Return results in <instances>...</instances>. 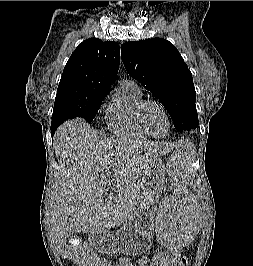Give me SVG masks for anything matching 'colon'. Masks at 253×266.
Returning a JSON list of instances; mask_svg holds the SVG:
<instances>
[{"mask_svg": "<svg viewBox=\"0 0 253 266\" xmlns=\"http://www.w3.org/2000/svg\"><path fill=\"white\" fill-rule=\"evenodd\" d=\"M65 256L76 266H112L107 259L98 256L80 238H71L68 241ZM187 263L186 257L181 256L177 252L168 251L157 253L151 260L144 262L142 266H186Z\"/></svg>", "mask_w": 253, "mask_h": 266, "instance_id": "5ec220e1", "label": "colon"}]
</instances>
